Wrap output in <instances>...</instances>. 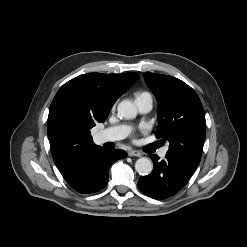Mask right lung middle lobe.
I'll return each mask as SVG.
<instances>
[{
    "label": "right lung middle lobe",
    "instance_id": "dd1d6c3e",
    "mask_svg": "<svg viewBox=\"0 0 247 247\" xmlns=\"http://www.w3.org/2000/svg\"><path fill=\"white\" fill-rule=\"evenodd\" d=\"M65 119L67 128L72 130L82 129L87 134H90V129L94 126L91 123L80 121L76 116H74L71 113H67V115H65Z\"/></svg>",
    "mask_w": 247,
    "mask_h": 247
}]
</instances>
